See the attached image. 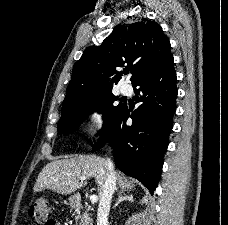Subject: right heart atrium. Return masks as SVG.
Listing matches in <instances>:
<instances>
[{"mask_svg":"<svg viewBox=\"0 0 228 225\" xmlns=\"http://www.w3.org/2000/svg\"><path fill=\"white\" fill-rule=\"evenodd\" d=\"M83 126L90 134H101L106 128V118L100 109L89 111L84 119Z\"/></svg>","mask_w":228,"mask_h":225,"instance_id":"right-heart-atrium-1","label":"right heart atrium"}]
</instances>
